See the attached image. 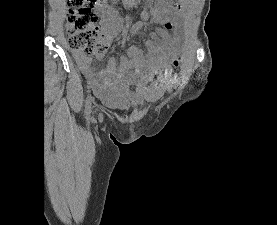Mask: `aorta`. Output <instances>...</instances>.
Returning a JSON list of instances; mask_svg holds the SVG:
<instances>
[{
  "mask_svg": "<svg viewBox=\"0 0 277 225\" xmlns=\"http://www.w3.org/2000/svg\"><path fill=\"white\" fill-rule=\"evenodd\" d=\"M126 1V3H127V5L129 6V7H133L134 6V2H135V0H125Z\"/></svg>",
  "mask_w": 277,
  "mask_h": 225,
  "instance_id": "1",
  "label": "aorta"
}]
</instances>
